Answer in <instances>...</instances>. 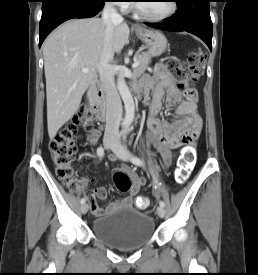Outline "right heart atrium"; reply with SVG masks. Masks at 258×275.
Wrapping results in <instances>:
<instances>
[{
	"label": "right heart atrium",
	"instance_id": "obj_1",
	"mask_svg": "<svg viewBox=\"0 0 258 275\" xmlns=\"http://www.w3.org/2000/svg\"><path fill=\"white\" fill-rule=\"evenodd\" d=\"M110 2H115L114 5L121 8V10H126L129 0H109Z\"/></svg>",
	"mask_w": 258,
	"mask_h": 275
}]
</instances>
